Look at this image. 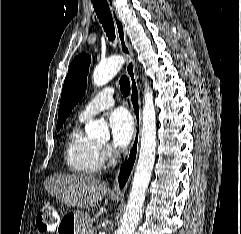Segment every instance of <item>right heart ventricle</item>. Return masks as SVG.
Instances as JSON below:
<instances>
[{
  "label": "right heart ventricle",
  "instance_id": "obj_1",
  "mask_svg": "<svg viewBox=\"0 0 241 234\" xmlns=\"http://www.w3.org/2000/svg\"><path fill=\"white\" fill-rule=\"evenodd\" d=\"M64 155L68 169L77 175L96 174L103 166L101 147L83 134L80 124L68 134Z\"/></svg>",
  "mask_w": 241,
  "mask_h": 234
}]
</instances>
